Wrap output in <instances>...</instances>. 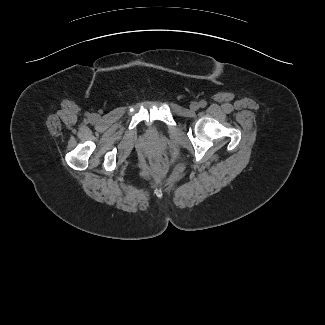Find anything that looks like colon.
<instances>
[{"label": "colon", "mask_w": 325, "mask_h": 325, "mask_svg": "<svg viewBox=\"0 0 325 325\" xmlns=\"http://www.w3.org/2000/svg\"><path fill=\"white\" fill-rule=\"evenodd\" d=\"M153 165L157 175H162L167 169V158L163 154L153 157Z\"/></svg>", "instance_id": "obj_1"}]
</instances>
